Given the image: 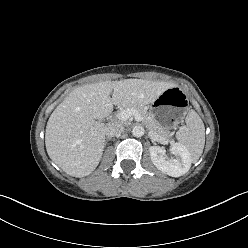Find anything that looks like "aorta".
Returning <instances> with one entry per match:
<instances>
[{
	"label": "aorta",
	"instance_id": "aorta-1",
	"mask_svg": "<svg viewBox=\"0 0 248 248\" xmlns=\"http://www.w3.org/2000/svg\"><path fill=\"white\" fill-rule=\"evenodd\" d=\"M145 133V129L143 126L136 125L132 129V134L134 137H142Z\"/></svg>",
	"mask_w": 248,
	"mask_h": 248
}]
</instances>
